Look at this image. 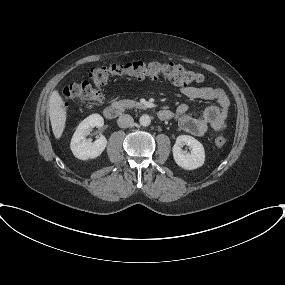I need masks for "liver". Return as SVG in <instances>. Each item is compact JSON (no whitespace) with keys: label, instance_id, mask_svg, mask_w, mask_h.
<instances>
[{"label":"liver","instance_id":"6515ba94","mask_svg":"<svg viewBox=\"0 0 285 285\" xmlns=\"http://www.w3.org/2000/svg\"><path fill=\"white\" fill-rule=\"evenodd\" d=\"M49 115L53 134L58 140L63 134L67 119V112L64 108V101L58 90H54L50 96Z\"/></svg>","mask_w":285,"mask_h":285}]
</instances>
